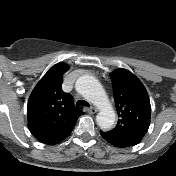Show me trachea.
I'll return each instance as SVG.
<instances>
[{"label": "trachea", "instance_id": "3493384b", "mask_svg": "<svg viewBox=\"0 0 176 176\" xmlns=\"http://www.w3.org/2000/svg\"><path fill=\"white\" fill-rule=\"evenodd\" d=\"M76 106L77 107L78 106H87V107H89L90 105L84 100H79V101H77Z\"/></svg>", "mask_w": 176, "mask_h": 176}]
</instances>
